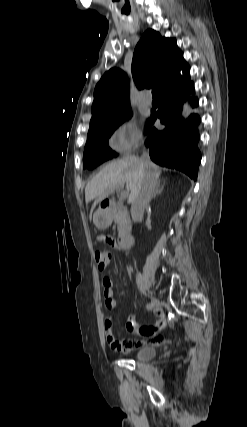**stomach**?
Returning a JSON list of instances; mask_svg holds the SVG:
<instances>
[{"instance_id":"0dacf381","label":"stomach","mask_w":247,"mask_h":427,"mask_svg":"<svg viewBox=\"0 0 247 427\" xmlns=\"http://www.w3.org/2000/svg\"><path fill=\"white\" fill-rule=\"evenodd\" d=\"M93 222L99 229H105L112 223L111 213L107 210L99 209L93 215Z\"/></svg>"}]
</instances>
